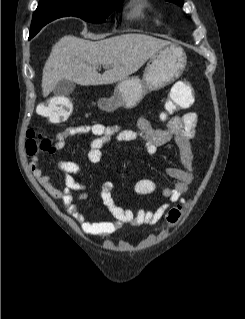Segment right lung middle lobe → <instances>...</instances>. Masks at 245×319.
I'll return each instance as SVG.
<instances>
[{"label": "right lung middle lobe", "instance_id": "1", "mask_svg": "<svg viewBox=\"0 0 245 319\" xmlns=\"http://www.w3.org/2000/svg\"><path fill=\"white\" fill-rule=\"evenodd\" d=\"M122 2L123 0H66L55 1L53 4L58 8V17L76 16L88 22L102 23ZM32 24L38 25L34 18Z\"/></svg>", "mask_w": 245, "mask_h": 319}]
</instances>
